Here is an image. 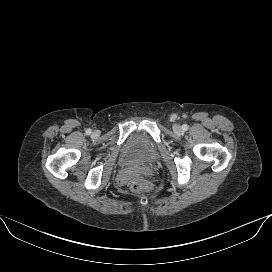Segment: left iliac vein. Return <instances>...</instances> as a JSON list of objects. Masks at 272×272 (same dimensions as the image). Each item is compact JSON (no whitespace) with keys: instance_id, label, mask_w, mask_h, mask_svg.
<instances>
[{"instance_id":"left-iliac-vein-1","label":"left iliac vein","mask_w":272,"mask_h":272,"mask_svg":"<svg viewBox=\"0 0 272 272\" xmlns=\"http://www.w3.org/2000/svg\"><path fill=\"white\" fill-rule=\"evenodd\" d=\"M173 130H174V132H176V133H181L182 128H181L180 125L175 124V125L173 126Z\"/></svg>"}]
</instances>
